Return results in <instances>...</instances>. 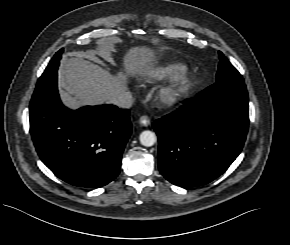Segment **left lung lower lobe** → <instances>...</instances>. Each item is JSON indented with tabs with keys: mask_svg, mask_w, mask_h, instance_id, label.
<instances>
[{
	"mask_svg": "<svg viewBox=\"0 0 290 245\" xmlns=\"http://www.w3.org/2000/svg\"><path fill=\"white\" fill-rule=\"evenodd\" d=\"M248 125L244 81L209 86L176 112L153 123L159 140L160 173L181 187L211 182L240 154Z\"/></svg>",
	"mask_w": 290,
	"mask_h": 245,
	"instance_id": "0a47b994",
	"label": "left lung lower lobe"
}]
</instances>
